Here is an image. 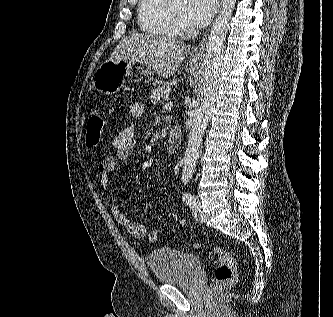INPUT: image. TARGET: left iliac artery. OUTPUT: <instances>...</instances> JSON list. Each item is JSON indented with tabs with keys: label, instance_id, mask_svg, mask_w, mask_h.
Wrapping results in <instances>:
<instances>
[{
	"label": "left iliac artery",
	"instance_id": "obj_1",
	"mask_svg": "<svg viewBox=\"0 0 333 317\" xmlns=\"http://www.w3.org/2000/svg\"><path fill=\"white\" fill-rule=\"evenodd\" d=\"M182 200L191 208L194 207L198 201L194 195L188 193H184L182 195Z\"/></svg>",
	"mask_w": 333,
	"mask_h": 317
}]
</instances>
